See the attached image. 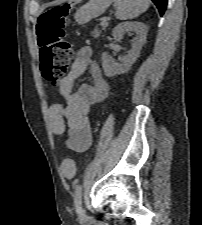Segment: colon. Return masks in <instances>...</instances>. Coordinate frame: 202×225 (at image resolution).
I'll use <instances>...</instances> for the list:
<instances>
[{
  "label": "colon",
  "mask_w": 202,
  "mask_h": 225,
  "mask_svg": "<svg viewBox=\"0 0 202 225\" xmlns=\"http://www.w3.org/2000/svg\"><path fill=\"white\" fill-rule=\"evenodd\" d=\"M67 6L50 8L37 17L36 36L40 47L41 74L52 86L60 85L72 60V46L66 37ZM64 178H73L74 161L65 158L60 166Z\"/></svg>",
  "instance_id": "1"
}]
</instances>
